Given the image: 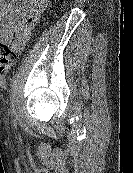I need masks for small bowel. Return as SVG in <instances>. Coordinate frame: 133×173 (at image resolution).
Wrapping results in <instances>:
<instances>
[{
	"label": "small bowel",
	"mask_w": 133,
	"mask_h": 173,
	"mask_svg": "<svg viewBox=\"0 0 133 173\" xmlns=\"http://www.w3.org/2000/svg\"><path fill=\"white\" fill-rule=\"evenodd\" d=\"M0 0V41L12 42L18 52L27 44L31 32L46 8L47 0Z\"/></svg>",
	"instance_id": "c3829d8e"
}]
</instances>
